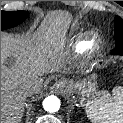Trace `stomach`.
Returning <instances> with one entry per match:
<instances>
[{"instance_id": "obj_1", "label": "stomach", "mask_w": 123, "mask_h": 123, "mask_svg": "<svg viewBox=\"0 0 123 123\" xmlns=\"http://www.w3.org/2000/svg\"><path fill=\"white\" fill-rule=\"evenodd\" d=\"M95 77L83 80V81H73L66 78H61L57 85L64 88V90L70 94L77 93L81 96V103L86 100H93L96 93V83L94 81Z\"/></svg>"}]
</instances>
